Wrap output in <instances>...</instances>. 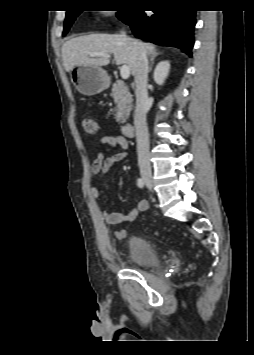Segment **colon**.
<instances>
[{
	"label": "colon",
	"mask_w": 254,
	"mask_h": 355,
	"mask_svg": "<svg viewBox=\"0 0 254 355\" xmlns=\"http://www.w3.org/2000/svg\"><path fill=\"white\" fill-rule=\"evenodd\" d=\"M82 127H83V130L86 134L88 135H95L98 131V124L97 122L92 119V118H84L82 120Z\"/></svg>",
	"instance_id": "obj_1"
}]
</instances>
